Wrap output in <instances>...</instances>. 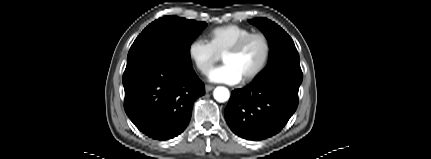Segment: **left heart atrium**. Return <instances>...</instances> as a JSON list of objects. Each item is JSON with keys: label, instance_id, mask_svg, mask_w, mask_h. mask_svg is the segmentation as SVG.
Instances as JSON below:
<instances>
[{"label": "left heart atrium", "instance_id": "1", "mask_svg": "<svg viewBox=\"0 0 431 159\" xmlns=\"http://www.w3.org/2000/svg\"><path fill=\"white\" fill-rule=\"evenodd\" d=\"M208 77L211 82L228 85L238 84L242 80V77L236 69L226 63L211 70Z\"/></svg>", "mask_w": 431, "mask_h": 159}]
</instances>
